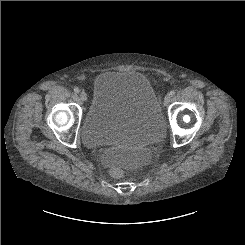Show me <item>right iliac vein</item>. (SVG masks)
<instances>
[{
	"instance_id": "right-iliac-vein-1",
	"label": "right iliac vein",
	"mask_w": 245,
	"mask_h": 245,
	"mask_svg": "<svg viewBox=\"0 0 245 245\" xmlns=\"http://www.w3.org/2000/svg\"><path fill=\"white\" fill-rule=\"evenodd\" d=\"M79 97H80L81 101H83V102L87 100V94L84 92H81Z\"/></svg>"
}]
</instances>
